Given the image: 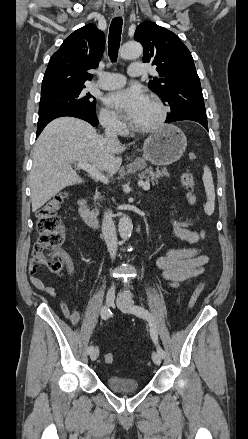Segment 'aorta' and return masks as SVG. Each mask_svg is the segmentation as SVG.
Returning <instances> with one entry per match:
<instances>
[{"mask_svg":"<svg viewBox=\"0 0 248 439\" xmlns=\"http://www.w3.org/2000/svg\"><path fill=\"white\" fill-rule=\"evenodd\" d=\"M143 48L138 42H127L120 50V57L123 59H135L141 56ZM119 234L122 239L127 240L131 237L133 224L129 216L123 214L118 223Z\"/></svg>","mask_w":248,"mask_h":439,"instance_id":"762f6f07","label":"aorta"}]
</instances>
